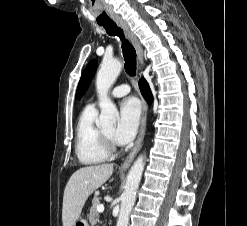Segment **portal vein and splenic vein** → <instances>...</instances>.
Here are the masks:
<instances>
[{
    "mask_svg": "<svg viewBox=\"0 0 247 226\" xmlns=\"http://www.w3.org/2000/svg\"><path fill=\"white\" fill-rule=\"evenodd\" d=\"M97 211L100 212V213H102L104 211V205L103 204H99L97 206Z\"/></svg>",
    "mask_w": 247,
    "mask_h": 226,
    "instance_id": "portal-vein-and-splenic-vein-1",
    "label": "portal vein and splenic vein"
}]
</instances>
